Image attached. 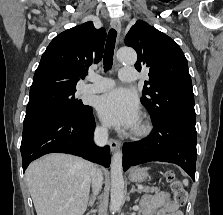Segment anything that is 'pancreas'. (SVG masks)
<instances>
[{
	"instance_id": "cf45deb5",
	"label": "pancreas",
	"mask_w": 223,
	"mask_h": 215,
	"mask_svg": "<svg viewBox=\"0 0 223 215\" xmlns=\"http://www.w3.org/2000/svg\"><path fill=\"white\" fill-rule=\"evenodd\" d=\"M143 191H160L159 187H144Z\"/></svg>"
}]
</instances>
